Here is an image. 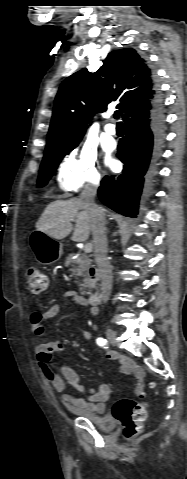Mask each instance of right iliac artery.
<instances>
[{"label":"right iliac artery","instance_id":"right-iliac-artery-1","mask_svg":"<svg viewBox=\"0 0 187 479\" xmlns=\"http://www.w3.org/2000/svg\"><path fill=\"white\" fill-rule=\"evenodd\" d=\"M96 342L99 346H106L107 345V340L104 339V338H97ZM105 348H107V347H105Z\"/></svg>","mask_w":187,"mask_h":479}]
</instances>
